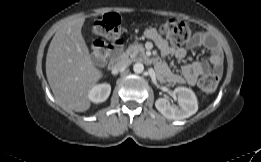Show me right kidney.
<instances>
[{
  "mask_svg": "<svg viewBox=\"0 0 261 162\" xmlns=\"http://www.w3.org/2000/svg\"><path fill=\"white\" fill-rule=\"evenodd\" d=\"M111 92V86L108 83H103L94 86L88 93V98L93 103H101L107 100Z\"/></svg>",
  "mask_w": 261,
  "mask_h": 162,
  "instance_id": "obj_1",
  "label": "right kidney"
}]
</instances>
